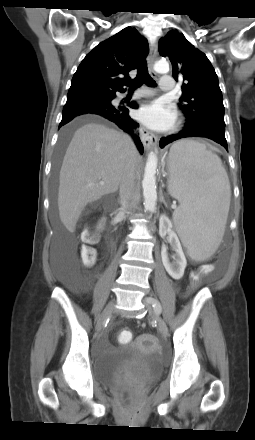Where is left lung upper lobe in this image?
I'll use <instances>...</instances> for the list:
<instances>
[{"label":"left lung upper lobe","instance_id":"obj_1","mask_svg":"<svg viewBox=\"0 0 255 440\" xmlns=\"http://www.w3.org/2000/svg\"><path fill=\"white\" fill-rule=\"evenodd\" d=\"M159 52L163 57H169L174 79L185 81L179 106L187 124L215 122L225 126L222 92L207 56L177 30L160 39Z\"/></svg>","mask_w":255,"mask_h":440}]
</instances>
